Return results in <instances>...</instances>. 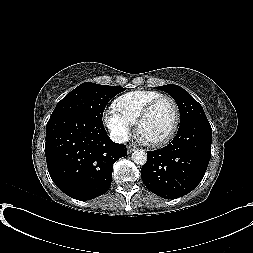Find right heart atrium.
Returning <instances> with one entry per match:
<instances>
[{"label":"right heart atrium","mask_w":253,"mask_h":253,"mask_svg":"<svg viewBox=\"0 0 253 253\" xmlns=\"http://www.w3.org/2000/svg\"><path fill=\"white\" fill-rule=\"evenodd\" d=\"M104 123L118 142H125L132 133V124L112 107L104 114Z\"/></svg>","instance_id":"right-heart-atrium-1"}]
</instances>
